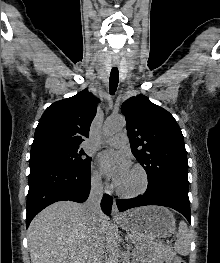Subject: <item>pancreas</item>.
I'll use <instances>...</instances> for the list:
<instances>
[{"instance_id": "cf45deb5", "label": "pancreas", "mask_w": 220, "mask_h": 263, "mask_svg": "<svg viewBox=\"0 0 220 263\" xmlns=\"http://www.w3.org/2000/svg\"><path fill=\"white\" fill-rule=\"evenodd\" d=\"M152 248L155 250L156 254L158 257L166 263H171L174 253L171 251L170 247L163 244L162 242H152Z\"/></svg>"}]
</instances>
